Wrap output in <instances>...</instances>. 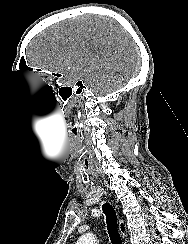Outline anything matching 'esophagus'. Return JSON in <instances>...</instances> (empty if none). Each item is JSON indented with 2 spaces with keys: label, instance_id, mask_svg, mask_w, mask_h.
I'll use <instances>...</instances> for the list:
<instances>
[{
  "label": "esophagus",
  "instance_id": "34e87169",
  "mask_svg": "<svg viewBox=\"0 0 188 244\" xmlns=\"http://www.w3.org/2000/svg\"><path fill=\"white\" fill-rule=\"evenodd\" d=\"M119 232L123 237L126 236V225L122 219L119 220Z\"/></svg>",
  "mask_w": 188,
  "mask_h": 244
}]
</instances>
